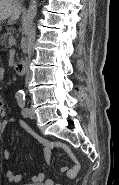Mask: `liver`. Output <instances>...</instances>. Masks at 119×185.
<instances>
[{
    "instance_id": "6515ba94",
    "label": "liver",
    "mask_w": 119,
    "mask_h": 185,
    "mask_svg": "<svg viewBox=\"0 0 119 185\" xmlns=\"http://www.w3.org/2000/svg\"><path fill=\"white\" fill-rule=\"evenodd\" d=\"M21 9L17 0H0V22L8 18L9 24H14L20 17Z\"/></svg>"
}]
</instances>
